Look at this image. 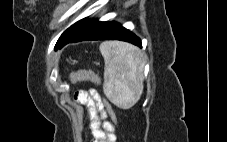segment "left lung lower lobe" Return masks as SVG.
<instances>
[{
	"mask_svg": "<svg viewBox=\"0 0 227 142\" xmlns=\"http://www.w3.org/2000/svg\"><path fill=\"white\" fill-rule=\"evenodd\" d=\"M87 40H121L142 47L141 40L135 34L122 27L121 24L99 21L90 22L61 47L68 43Z\"/></svg>",
	"mask_w": 227,
	"mask_h": 142,
	"instance_id": "0a47b994",
	"label": "left lung lower lobe"
}]
</instances>
